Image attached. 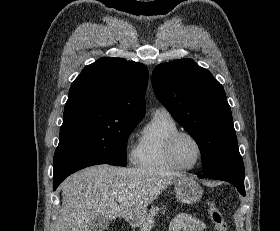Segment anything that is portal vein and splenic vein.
Returning <instances> with one entry per match:
<instances>
[{
  "label": "portal vein and splenic vein",
  "mask_w": 280,
  "mask_h": 231,
  "mask_svg": "<svg viewBox=\"0 0 280 231\" xmlns=\"http://www.w3.org/2000/svg\"><path fill=\"white\" fill-rule=\"evenodd\" d=\"M119 201H123V199H119Z\"/></svg>",
  "instance_id": "1"
}]
</instances>
